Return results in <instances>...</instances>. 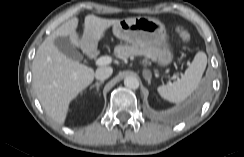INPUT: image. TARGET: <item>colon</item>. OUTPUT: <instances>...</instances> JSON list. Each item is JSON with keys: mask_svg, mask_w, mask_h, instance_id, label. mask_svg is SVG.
<instances>
[{"mask_svg": "<svg viewBox=\"0 0 244 157\" xmlns=\"http://www.w3.org/2000/svg\"><path fill=\"white\" fill-rule=\"evenodd\" d=\"M176 31L179 33L180 37L184 40V41H189L190 40V33L183 27L178 26L176 27Z\"/></svg>", "mask_w": 244, "mask_h": 157, "instance_id": "obj_1", "label": "colon"}]
</instances>
